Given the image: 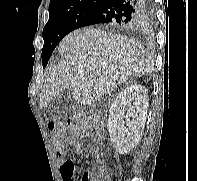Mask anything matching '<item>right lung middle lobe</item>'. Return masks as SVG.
Returning a JSON list of instances; mask_svg holds the SVG:
<instances>
[{"label":"right lung middle lobe","mask_w":197,"mask_h":181,"mask_svg":"<svg viewBox=\"0 0 197 181\" xmlns=\"http://www.w3.org/2000/svg\"><path fill=\"white\" fill-rule=\"evenodd\" d=\"M99 4H85L64 11L49 14V20L43 29L44 45L42 64L46 67L53 50L71 31L77 29L79 23L94 11Z\"/></svg>","instance_id":"1"}]
</instances>
